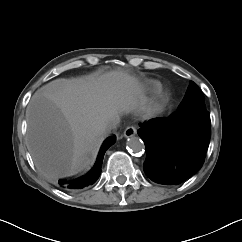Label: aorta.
<instances>
[{
    "label": "aorta",
    "instance_id": "1",
    "mask_svg": "<svg viewBox=\"0 0 242 242\" xmlns=\"http://www.w3.org/2000/svg\"><path fill=\"white\" fill-rule=\"evenodd\" d=\"M128 150H130L133 153H142L144 151V142L141 138L132 136L128 139L127 142Z\"/></svg>",
    "mask_w": 242,
    "mask_h": 242
}]
</instances>
